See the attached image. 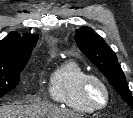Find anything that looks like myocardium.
<instances>
[{"instance_id": "obj_1", "label": "myocardium", "mask_w": 133, "mask_h": 118, "mask_svg": "<svg viewBox=\"0 0 133 118\" xmlns=\"http://www.w3.org/2000/svg\"><path fill=\"white\" fill-rule=\"evenodd\" d=\"M94 85L99 86L104 92V101L101 104L96 103L92 97V88ZM82 93L85 102L94 111H99L106 108L110 102L111 93L108 85L102 78L94 74H88L83 80Z\"/></svg>"}]
</instances>
